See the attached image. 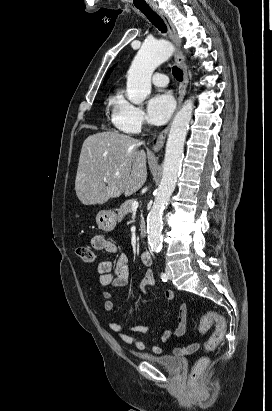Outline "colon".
I'll return each instance as SVG.
<instances>
[{"mask_svg": "<svg viewBox=\"0 0 272 411\" xmlns=\"http://www.w3.org/2000/svg\"><path fill=\"white\" fill-rule=\"evenodd\" d=\"M76 253L84 262L91 263L94 261V252L87 246H79ZM212 325H215V330L204 344V349L208 352L214 350L224 340L227 331L225 318L215 312H208L200 320L199 332L206 333ZM208 364L209 358L207 356H201L195 361L190 375L192 386L198 387L200 385L201 374Z\"/></svg>", "mask_w": 272, "mask_h": 411, "instance_id": "1", "label": "colon"}]
</instances>
